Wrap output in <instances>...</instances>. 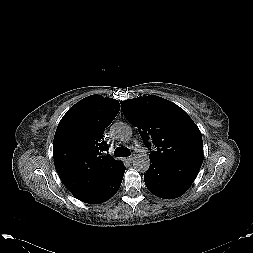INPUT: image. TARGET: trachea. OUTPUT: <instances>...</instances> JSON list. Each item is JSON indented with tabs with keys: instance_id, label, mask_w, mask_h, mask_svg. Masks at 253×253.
Here are the masks:
<instances>
[{
	"instance_id": "3493384b",
	"label": "trachea",
	"mask_w": 253,
	"mask_h": 253,
	"mask_svg": "<svg viewBox=\"0 0 253 253\" xmlns=\"http://www.w3.org/2000/svg\"><path fill=\"white\" fill-rule=\"evenodd\" d=\"M130 155H131L130 150L123 146L117 147L114 152V156H117V157H128Z\"/></svg>"
}]
</instances>
